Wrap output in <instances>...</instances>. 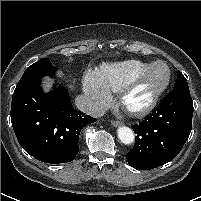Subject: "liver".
<instances>
[{
	"instance_id": "obj_1",
	"label": "liver",
	"mask_w": 201,
	"mask_h": 201,
	"mask_svg": "<svg viewBox=\"0 0 201 201\" xmlns=\"http://www.w3.org/2000/svg\"><path fill=\"white\" fill-rule=\"evenodd\" d=\"M43 86H44V90L48 91L51 87V81L49 79H45V81L43 82Z\"/></svg>"
}]
</instances>
